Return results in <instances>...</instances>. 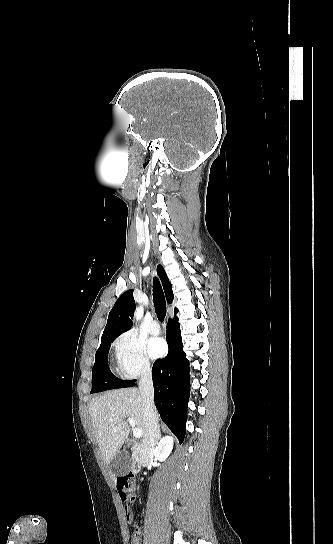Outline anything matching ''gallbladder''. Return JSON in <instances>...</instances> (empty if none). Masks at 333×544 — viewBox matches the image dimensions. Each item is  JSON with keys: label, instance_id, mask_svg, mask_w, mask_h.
<instances>
[{"label": "gallbladder", "instance_id": "1", "mask_svg": "<svg viewBox=\"0 0 333 544\" xmlns=\"http://www.w3.org/2000/svg\"><path fill=\"white\" fill-rule=\"evenodd\" d=\"M131 457L128 451L121 450L111 460L110 467L116 476L125 475L131 468Z\"/></svg>", "mask_w": 333, "mask_h": 544}]
</instances>
